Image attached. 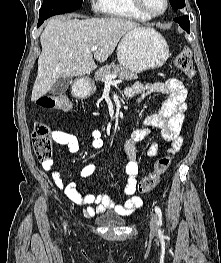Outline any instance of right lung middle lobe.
<instances>
[{"mask_svg":"<svg viewBox=\"0 0 221 263\" xmlns=\"http://www.w3.org/2000/svg\"><path fill=\"white\" fill-rule=\"evenodd\" d=\"M82 2L83 0H43L39 10V19L75 11L82 6Z\"/></svg>","mask_w":221,"mask_h":263,"instance_id":"dd1d6c3e","label":"right lung middle lobe"}]
</instances>
